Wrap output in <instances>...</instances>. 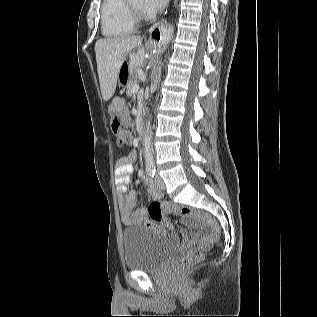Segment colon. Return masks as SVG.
Returning <instances> with one entry per match:
<instances>
[{"instance_id": "5ec220e1", "label": "colon", "mask_w": 317, "mask_h": 317, "mask_svg": "<svg viewBox=\"0 0 317 317\" xmlns=\"http://www.w3.org/2000/svg\"><path fill=\"white\" fill-rule=\"evenodd\" d=\"M108 114L111 130L118 143L120 145L128 144L130 142L131 124L125 102L120 98L112 100L108 106ZM168 213L179 215L185 221L191 222L196 219L206 224L200 238L191 244L190 248L178 259L175 265L177 271L184 272L199 263L204 254L218 241L219 229L213 218L195 209L164 201H154L148 207L149 217L156 222L162 221Z\"/></svg>"}]
</instances>
